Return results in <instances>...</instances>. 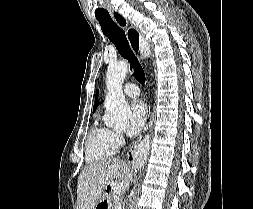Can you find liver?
Wrapping results in <instances>:
<instances>
[{"label":"liver","instance_id":"6515ba94","mask_svg":"<svg viewBox=\"0 0 253 209\" xmlns=\"http://www.w3.org/2000/svg\"><path fill=\"white\" fill-rule=\"evenodd\" d=\"M131 179L128 165L118 158L89 164L78 178L77 209H95L107 185L120 194L129 188Z\"/></svg>","mask_w":253,"mask_h":209}]
</instances>
